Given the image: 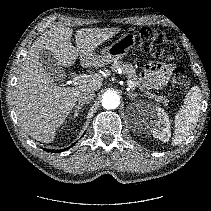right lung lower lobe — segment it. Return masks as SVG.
<instances>
[{"mask_svg":"<svg viewBox=\"0 0 211 211\" xmlns=\"http://www.w3.org/2000/svg\"><path fill=\"white\" fill-rule=\"evenodd\" d=\"M71 147V146H70ZM70 147H68L67 149H69ZM46 150V149H45ZM66 150V148L65 149H62V150H50V149H48L47 151L48 152H52V153H60V152H62V151H65Z\"/></svg>","mask_w":211,"mask_h":211,"instance_id":"1","label":"right lung lower lobe"}]
</instances>
